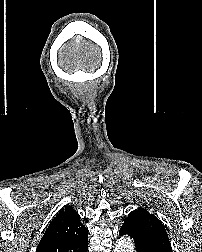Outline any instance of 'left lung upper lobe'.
<instances>
[{
    "instance_id": "5c2ea615",
    "label": "left lung upper lobe",
    "mask_w": 202,
    "mask_h": 252,
    "mask_svg": "<svg viewBox=\"0 0 202 252\" xmlns=\"http://www.w3.org/2000/svg\"><path fill=\"white\" fill-rule=\"evenodd\" d=\"M124 224L132 229L136 246L153 252H172L162 222L146 209L138 208L130 212Z\"/></svg>"
}]
</instances>
